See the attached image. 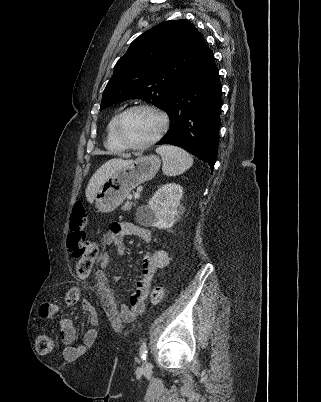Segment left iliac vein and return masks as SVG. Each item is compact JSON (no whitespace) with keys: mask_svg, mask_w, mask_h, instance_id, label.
<instances>
[{"mask_svg":"<svg viewBox=\"0 0 321 402\" xmlns=\"http://www.w3.org/2000/svg\"><path fill=\"white\" fill-rule=\"evenodd\" d=\"M144 366L148 367V362L147 361L144 362Z\"/></svg>","mask_w":321,"mask_h":402,"instance_id":"left-iliac-vein-1","label":"left iliac vein"}]
</instances>
